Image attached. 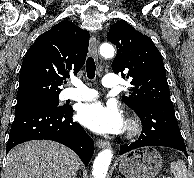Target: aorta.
Returning <instances> with one entry per match:
<instances>
[{"mask_svg":"<svg viewBox=\"0 0 194 178\" xmlns=\"http://www.w3.org/2000/svg\"><path fill=\"white\" fill-rule=\"evenodd\" d=\"M114 52L113 46L109 43H104L100 46V54L103 57L111 58L114 56ZM112 156L110 149H105L98 154L93 163V178H106Z\"/></svg>","mask_w":194,"mask_h":178,"instance_id":"1","label":"aorta"}]
</instances>
